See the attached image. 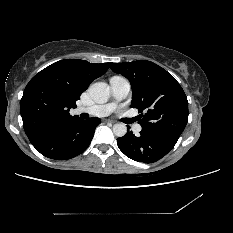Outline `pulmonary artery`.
<instances>
[{
    "label": "pulmonary artery",
    "instance_id": "1",
    "mask_svg": "<svg viewBox=\"0 0 233 233\" xmlns=\"http://www.w3.org/2000/svg\"><path fill=\"white\" fill-rule=\"evenodd\" d=\"M109 84L113 98L111 102L77 107L75 110L76 114L87 113L91 116L103 117L112 113L116 109L117 103L128 95L130 91V82L123 76H113L110 78ZM141 128L140 124H135L133 126V130L136 133H139Z\"/></svg>",
    "mask_w": 233,
    "mask_h": 233
}]
</instances>
